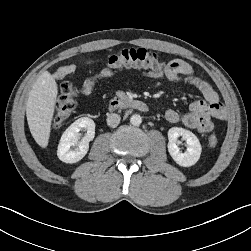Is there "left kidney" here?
<instances>
[{"label": "left kidney", "instance_id": "5707ae66", "mask_svg": "<svg viewBox=\"0 0 251 251\" xmlns=\"http://www.w3.org/2000/svg\"><path fill=\"white\" fill-rule=\"evenodd\" d=\"M180 136L187 143L185 152H181L177 146V138ZM168 140V152L178 165L190 167L197 163L202 148L195 134L181 127H172L168 131Z\"/></svg>", "mask_w": 251, "mask_h": 251}]
</instances>
